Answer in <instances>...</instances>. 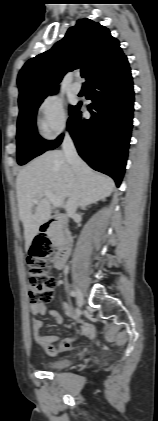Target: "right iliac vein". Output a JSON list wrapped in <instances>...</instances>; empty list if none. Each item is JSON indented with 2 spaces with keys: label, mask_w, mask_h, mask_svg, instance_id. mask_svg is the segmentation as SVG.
<instances>
[{
  "label": "right iliac vein",
  "mask_w": 158,
  "mask_h": 421,
  "mask_svg": "<svg viewBox=\"0 0 158 421\" xmlns=\"http://www.w3.org/2000/svg\"><path fill=\"white\" fill-rule=\"evenodd\" d=\"M78 306L82 307L84 304V296L80 289L76 288Z\"/></svg>",
  "instance_id": "obj_1"
}]
</instances>
